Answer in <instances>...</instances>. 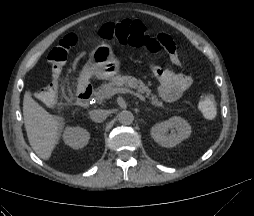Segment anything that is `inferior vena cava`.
<instances>
[{"label": "inferior vena cava", "mask_w": 254, "mask_h": 216, "mask_svg": "<svg viewBox=\"0 0 254 216\" xmlns=\"http://www.w3.org/2000/svg\"><path fill=\"white\" fill-rule=\"evenodd\" d=\"M89 115L92 121L100 123L107 118L108 112L106 110L97 109L90 111Z\"/></svg>", "instance_id": "obj_1"}]
</instances>
